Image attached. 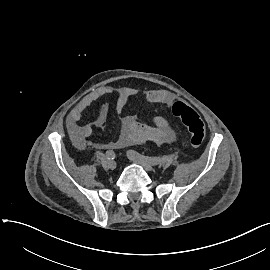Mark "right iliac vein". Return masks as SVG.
<instances>
[{"label": "right iliac vein", "mask_w": 270, "mask_h": 270, "mask_svg": "<svg viewBox=\"0 0 270 270\" xmlns=\"http://www.w3.org/2000/svg\"><path fill=\"white\" fill-rule=\"evenodd\" d=\"M108 166L110 169H115L117 167V163L115 161H110Z\"/></svg>", "instance_id": "1"}]
</instances>
